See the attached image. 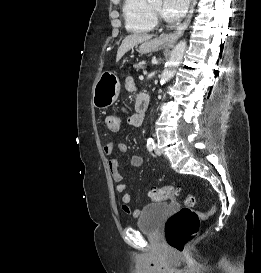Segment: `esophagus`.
Wrapping results in <instances>:
<instances>
[{
    "label": "esophagus",
    "mask_w": 261,
    "mask_h": 273,
    "mask_svg": "<svg viewBox=\"0 0 261 273\" xmlns=\"http://www.w3.org/2000/svg\"><path fill=\"white\" fill-rule=\"evenodd\" d=\"M194 5H195V0H192L190 10H189V13H188L185 21L174 32L168 33V34H162L160 36L161 42H163L167 45H170V46L175 44V42L183 34L184 30L187 29V27L191 21V18H192L193 12H194Z\"/></svg>",
    "instance_id": "obj_1"
}]
</instances>
